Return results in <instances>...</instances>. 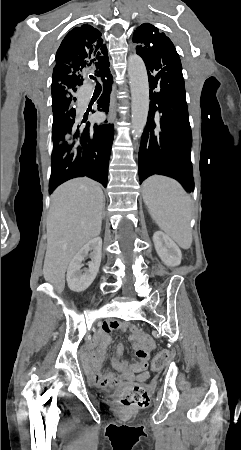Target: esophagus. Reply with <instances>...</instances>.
I'll use <instances>...</instances> for the list:
<instances>
[{
    "label": "esophagus",
    "mask_w": 241,
    "mask_h": 450,
    "mask_svg": "<svg viewBox=\"0 0 241 450\" xmlns=\"http://www.w3.org/2000/svg\"><path fill=\"white\" fill-rule=\"evenodd\" d=\"M116 107H117V100L114 96H112L109 106V115H108L109 123H113L116 119Z\"/></svg>",
    "instance_id": "1"
}]
</instances>
